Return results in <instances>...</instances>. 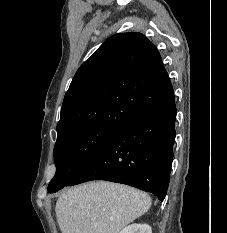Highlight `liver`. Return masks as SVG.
<instances>
[{
    "instance_id": "6515ba94",
    "label": "liver",
    "mask_w": 227,
    "mask_h": 233,
    "mask_svg": "<svg viewBox=\"0 0 227 233\" xmlns=\"http://www.w3.org/2000/svg\"><path fill=\"white\" fill-rule=\"evenodd\" d=\"M151 203L150 196L143 191L96 181L63 193L55 211L62 233H119L145 214Z\"/></svg>"
}]
</instances>
